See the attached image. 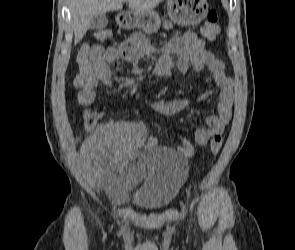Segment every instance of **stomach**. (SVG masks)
<instances>
[{
	"mask_svg": "<svg viewBox=\"0 0 295 250\" xmlns=\"http://www.w3.org/2000/svg\"><path fill=\"white\" fill-rule=\"evenodd\" d=\"M207 12V0H168L167 2L169 18L178 25H197L206 17ZM117 21L122 28L138 27L148 34L157 32L161 25L160 16L154 10H130L121 13Z\"/></svg>",
	"mask_w": 295,
	"mask_h": 250,
	"instance_id": "stomach-1",
	"label": "stomach"
}]
</instances>
